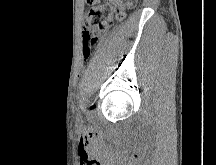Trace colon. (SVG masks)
<instances>
[{
	"label": "colon",
	"mask_w": 216,
	"mask_h": 165,
	"mask_svg": "<svg viewBox=\"0 0 216 165\" xmlns=\"http://www.w3.org/2000/svg\"><path fill=\"white\" fill-rule=\"evenodd\" d=\"M137 0H86L90 9L83 28V55L87 58L100 35L116 20L121 19L124 11L135 5Z\"/></svg>",
	"instance_id": "colon-1"
}]
</instances>
